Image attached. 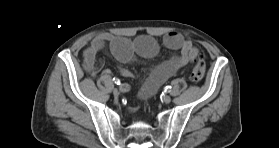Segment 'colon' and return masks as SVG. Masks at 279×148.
Here are the masks:
<instances>
[{
  "mask_svg": "<svg viewBox=\"0 0 279 148\" xmlns=\"http://www.w3.org/2000/svg\"><path fill=\"white\" fill-rule=\"evenodd\" d=\"M205 71H206V63L204 57L203 55H199L196 58L195 64L192 68V72H191L192 82L194 83L200 82L204 78Z\"/></svg>",
  "mask_w": 279,
  "mask_h": 148,
  "instance_id": "5ec220e1",
  "label": "colon"
}]
</instances>
